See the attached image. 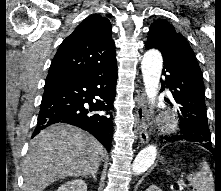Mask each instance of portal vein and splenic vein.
Segmentation results:
<instances>
[{"instance_id": "1", "label": "portal vein and splenic vein", "mask_w": 221, "mask_h": 191, "mask_svg": "<svg viewBox=\"0 0 221 191\" xmlns=\"http://www.w3.org/2000/svg\"><path fill=\"white\" fill-rule=\"evenodd\" d=\"M178 185L180 188L184 189V188H189L190 185L185 184L182 180L178 182Z\"/></svg>"}]
</instances>
